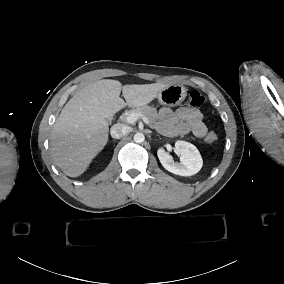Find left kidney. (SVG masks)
Masks as SVG:
<instances>
[{
	"label": "left kidney",
	"instance_id": "obj_1",
	"mask_svg": "<svg viewBox=\"0 0 284 284\" xmlns=\"http://www.w3.org/2000/svg\"><path fill=\"white\" fill-rule=\"evenodd\" d=\"M175 151L181 155L180 163L174 162L173 157L163 148L157 151L158 158L166 170L180 176H191L200 171L203 160L196 146L179 140L175 142Z\"/></svg>",
	"mask_w": 284,
	"mask_h": 284
}]
</instances>
